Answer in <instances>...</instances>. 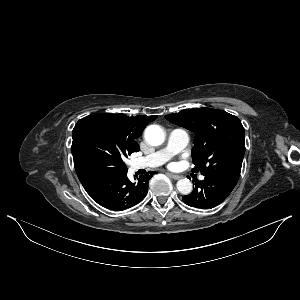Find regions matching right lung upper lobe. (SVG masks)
<instances>
[{
	"instance_id": "cb5924a9",
	"label": "right lung upper lobe",
	"mask_w": 300,
	"mask_h": 300,
	"mask_svg": "<svg viewBox=\"0 0 300 300\" xmlns=\"http://www.w3.org/2000/svg\"><path fill=\"white\" fill-rule=\"evenodd\" d=\"M105 128L122 139L133 151H139L136 139L140 136L146 125L155 120L157 116L128 117L125 114L96 113Z\"/></svg>"
}]
</instances>
